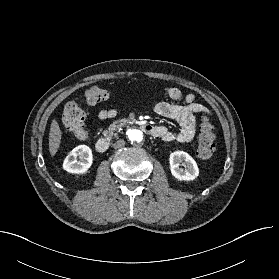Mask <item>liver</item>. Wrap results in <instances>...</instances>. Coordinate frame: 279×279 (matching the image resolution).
<instances>
[{"label": "liver", "instance_id": "liver-1", "mask_svg": "<svg viewBox=\"0 0 279 279\" xmlns=\"http://www.w3.org/2000/svg\"><path fill=\"white\" fill-rule=\"evenodd\" d=\"M61 138L62 132L60 130L58 122L53 119L49 132V152L51 156H54L57 153L61 143Z\"/></svg>", "mask_w": 279, "mask_h": 279}]
</instances>
